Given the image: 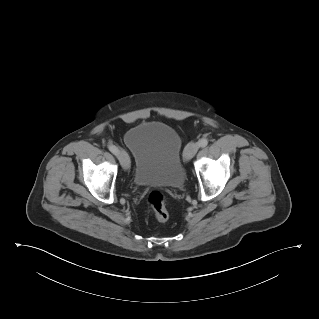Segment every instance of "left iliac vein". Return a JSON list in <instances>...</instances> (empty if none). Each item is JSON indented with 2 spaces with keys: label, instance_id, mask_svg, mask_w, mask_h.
<instances>
[{
  "label": "left iliac vein",
  "instance_id": "4c4485c4",
  "mask_svg": "<svg viewBox=\"0 0 319 319\" xmlns=\"http://www.w3.org/2000/svg\"><path fill=\"white\" fill-rule=\"evenodd\" d=\"M199 144L197 142L189 143L184 150V159L189 161L198 151Z\"/></svg>",
  "mask_w": 319,
  "mask_h": 319
}]
</instances>
